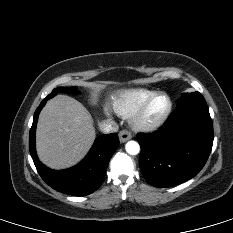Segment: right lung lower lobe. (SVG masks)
Returning <instances> with one entry per match:
<instances>
[{"label":"right lung lower lobe","instance_id":"98d812e1","mask_svg":"<svg viewBox=\"0 0 233 233\" xmlns=\"http://www.w3.org/2000/svg\"><path fill=\"white\" fill-rule=\"evenodd\" d=\"M44 99L34 114L29 134V150L41 178L53 189L74 196H85L96 191L102 184L111 156L119 145L116 133L101 135L96 138L87 156L76 166L56 171L43 165L35 150V130L38 115L45 105Z\"/></svg>","mask_w":233,"mask_h":233}]
</instances>
